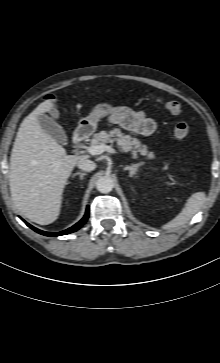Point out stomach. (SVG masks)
<instances>
[{"label": "stomach", "mask_w": 220, "mask_h": 363, "mask_svg": "<svg viewBox=\"0 0 220 363\" xmlns=\"http://www.w3.org/2000/svg\"><path fill=\"white\" fill-rule=\"evenodd\" d=\"M112 111L113 107L110 104L103 103L97 105L87 117L81 118L79 120V128H84L90 133H93L97 129L99 120L105 116H108Z\"/></svg>", "instance_id": "obj_1"}]
</instances>
